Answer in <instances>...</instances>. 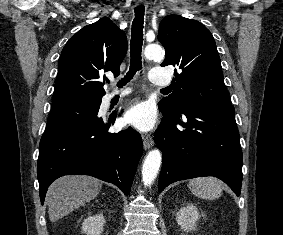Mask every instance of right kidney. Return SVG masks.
<instances>
[{
	"mask_svg": "<svg viewBox=\"0 0 283 235\" xmlns=\"http://www.w3.org/2000/svg\"><path fill=\"white\" fill-rule=\"evenodd\" d=\"M103 214H96L86 218L82 224V232L86 235H100L105 224Z\"/></svg>",
	"mask_w": 283,
	"mask_h": 235,
	"instance_id": "obj_1",
	"label": "right kidney"
}]
</instances>
